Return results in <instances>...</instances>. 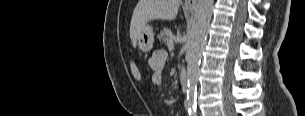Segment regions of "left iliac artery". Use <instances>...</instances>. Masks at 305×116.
Instances as JSON below:
<instances>
[{
    "instance_id": "1",
    "label": "left iliac artery",
    "mask_w": 305,
    "mask_h": 116,
    "mask_svg": "<svg viewBox=\"0 0 305 116\" xmlns=\"http://www.w3.org/2000/svg\"><path fill=\"white\" fill-rule=\"evenodd\" d=\"M191 116H196V114H191Z\"/></svg>"
}]
</instances>
